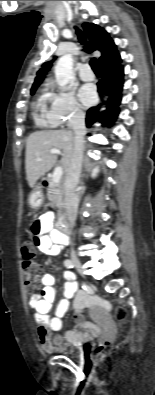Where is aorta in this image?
<instances>
[{
	"label": "aorta",
	"mask_w": 155,
	"mask_h": 395,
	"mask_svg": "<svg viewBox=\"0 0 155 395\" xmlns=\"http://www.w3.org/2000/svg\"><path fill=\"white\" fill-rule=\"evenodd\" d=\"M73 58L71 55L60 57L55 65V77L58 85L66 86L73 78Z\"/></svg>",
	"instance_id": "aorta-1"
}]
</instances>
